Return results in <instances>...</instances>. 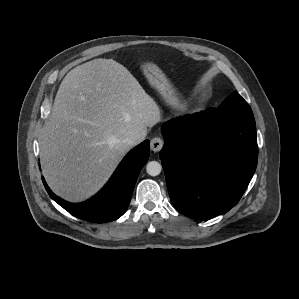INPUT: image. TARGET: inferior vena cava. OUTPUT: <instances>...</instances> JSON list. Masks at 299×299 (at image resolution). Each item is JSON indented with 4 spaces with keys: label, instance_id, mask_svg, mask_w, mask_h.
<instances>
[{
    "label": "inferior vena cava",
    "instance_id": "inferior-vena-cava-1",
    "mask_svg": "<svg viewBox=\"0 0 299 299\" xmlns=\"http://www.w3.org/2000/svg\"><path fill=\"white\" fill-rule=\"evenodd\" d=\"M145 136H146L145 133H135V134L130 135L129 137L124 138L122 140V143L129 147H132L134 145L139 144L141 141H143Z\"/></svg>",
    "mask_w": 299,
    "mask_h": 299
}]
</instances>
